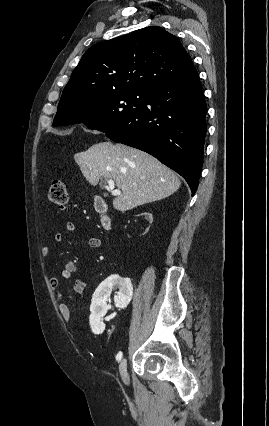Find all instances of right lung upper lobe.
Returning <instances> with one entry per match:
<instances>
[{
	"mask_svg": "<svg viewBox=\"0 0 269 426\" xmlns=\"http://www.w3.org/2000/svg\"><path fill=\"white\" fill-rule=\"evenodd\" d=\"M193 69L179 39L159 26H150L90 47L61 98L147 93Z\"/></svg>",
	"mask_w": 269,
	"mask_h": 426,
	"instance_id": "obj_1",
	"label": "right lung upper lobe"
}]
</instances>
